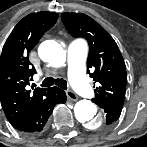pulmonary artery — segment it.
Instances as JSON below:
<instances>
[{"label":"pulmonary artery","mask_w":147,"mask_h":147,"mask_svg":"<svg viewBox=\"0 0 147 147\" xmlns=\"http://www.w3.org/2000/svg\"><path fill=\"white\" fill-rule=\"evenodd\" d=\"M87 55V47L81 40H74L68 47V69L75 90L83 97H89L92 88L83 74L82 67Z\"/></svg>","instance_id":"obj_1"}]
</instances>
